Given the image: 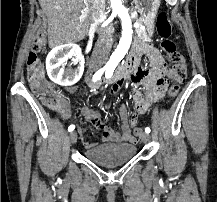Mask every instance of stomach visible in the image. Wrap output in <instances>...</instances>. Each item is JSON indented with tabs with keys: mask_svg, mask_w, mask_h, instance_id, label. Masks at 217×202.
I'll list each match as a JSON object with an SVG mask.
<instances>
[{
	"mask_svg": "<svg viewBox=\"0 0 217 202\" xmlns=\"http://www.w3.org/2000/svg\"><path fill=\"white\" fill-rule=\"evenodd\" d=\"M135 8L141 16L148 36H153L155 20L161 0H134Z\"/></svg>",
	"mask_w": 217,
	"mask_h": 202,
	"instance_id": "obj_1",
	"label": "stomach"
}]
</instances>
